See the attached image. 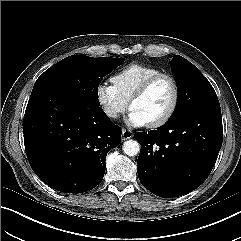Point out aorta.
Instances as JSON below:
<instances>
[{"label":"aorta","instance_id":"762f6f07","mask_svg":"<svg viewBox=\"0 0 241 241\" xmlns=\"http://www.w3.org/2000/svg\"><path fill=\"white\" fill-rule=\"evenodd\" d=\"M122 149L126 155L136 156L140 152V144L136 140H127Z\"/></svg>","mask_w":241,"mask_h":241}]
</instances>
